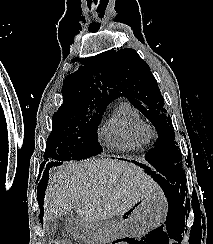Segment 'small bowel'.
Wrapping results in <instances>:
<instances>
[{"instance_id": "obj_1", "label": "small bowel", "mask_w": 213, "mask_h": 244, "mask_svg": "<svg viewBox=\"0 0 213 244\" xmlns=\"http://www.w3.org/2000/svg\"><path fill=\"white\" fill-rule=\"evenodd\" d=\"M113 244H129L127 241H115Z\"/></svg>"}]
</instances>
